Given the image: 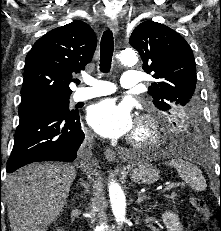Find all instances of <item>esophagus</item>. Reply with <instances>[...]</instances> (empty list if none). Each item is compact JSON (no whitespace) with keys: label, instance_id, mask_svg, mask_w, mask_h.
Returning a JSON list of instances; mask_svg holds the SVG:
<instances>
[{"label":"esophagus","instance_id":"1","mask_svg":"<svg viewBox=\"0 0 221 231\" xmlns=\"http://www.w3.org/2000/svg\"><path fill=\"white\" fill-rule=\"evenodd\" d=\"M108 27L112 30L114 34L118 32V21L116 18H109L107 21ZM105 157L109 162H115L116 155L115 152L111 148L105 149Z\"/></svg>","mask_w":221,"mask_h":231}]
</instances>
